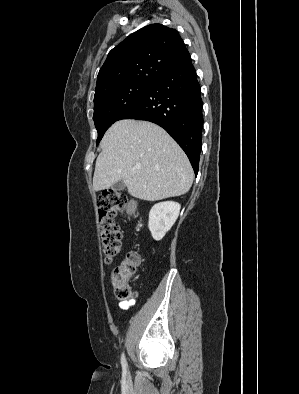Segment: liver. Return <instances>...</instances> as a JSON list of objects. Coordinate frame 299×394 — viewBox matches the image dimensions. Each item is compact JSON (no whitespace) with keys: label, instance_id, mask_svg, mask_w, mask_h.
Here are the masks:
<instances>
[{"label":"liver","instance_id":"liver-1","mask_svg":"<svg viewBox=\"0 0 299 394\" xmlns=\"http://www.w3.org/2000/svg\"><path fill=\"white\" fill-rule=\"evenodd\" d=\"M95 164V191L123 180L130 195L157 201L187 193L193 183L191 164L179 145L161 127L124 119L105 133Z\"/></svg>","mask_w":299,"mask_h":394}]
</instances>
